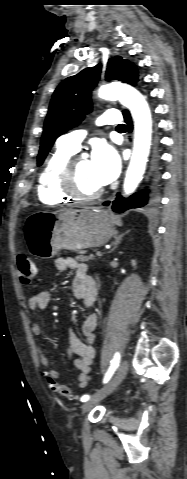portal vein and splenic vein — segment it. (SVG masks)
Returning <instances> with one entry per match:
<instances>
[{
	"label": "portal vein and splenic vein",
	"mask_w": 187,
	"mask_h": 479,
	"mask_svg": "<svg viewBox=\"0 0 187 479\" xmlns=\"http://www.w3.org/2000/svg\"><path fill=\"white\" fill-rule=\"evenodd\" d=\"M96 256H102V252L97 251V252H96Z\"/></svg>",
	"instance_id": "1"
}]
</instances>
